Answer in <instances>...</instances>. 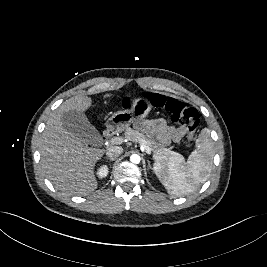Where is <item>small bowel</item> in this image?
Segmentation results:
<instances>
[{"instance_id": "small-bowel-1", "label": "small bowel", "mask_w": 267, "mask_h": 267, "mask_svg": "<svg viewBox=\"0 0 267 267\" xmlns=\"http://www.w3.org/2000/svg\"><path fill=\"white\" fill-rule=\"evenodd\" d=\"M137 127L151 138L163 144L179 142L186 132L184 126H168L160 119L140 121Z\"/></svg>"}]
</instances>
